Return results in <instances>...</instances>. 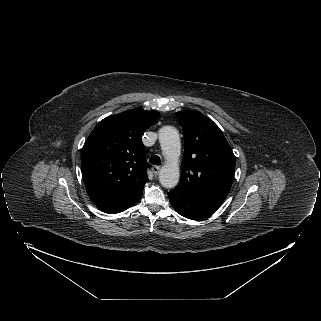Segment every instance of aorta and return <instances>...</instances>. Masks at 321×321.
Instances as JSON below:
<instances>
[{"instance_id":"obj_1","label":"aorta","mask_w":321,"mask_h":321,"mask_svg":"<svg viewBox=\"0 0 321 321\" xmlns=\"http://www.w3.org/2000/svg\"><path fill=\"white\" fill-rule=\"evenodd\" d=\"M159 142L166 160L160 169L159 181L165 188H174L180 178L178 158L181 143L179 132L173 126H164L159 130Z\"/></svg>"}]
</instances>
